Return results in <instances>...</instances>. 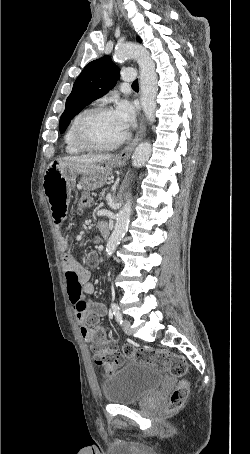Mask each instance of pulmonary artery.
Here are the masks:
<instances>
[{
  "label": "pulmonary artery",
  "mask_w": 250,
  "mask_h": 454,
  "mask_svg": "<svg viewBox=\"0 0 250 454\" xmlns=\"http://www.w3.org/2000/svg\"><path fill=\"white\" fill-rule=\"evenodd\" d=\"M122 79L125 82H131L136 79V72L132 68H126L122 71Z\"/></svg>",
  "instance_id": "obj_1"
}]
</instances>
